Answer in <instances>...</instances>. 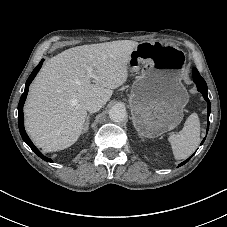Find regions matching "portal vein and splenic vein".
<instances>
[{"mask_svg":"<svg viewBox=\"0 0 227 227\" xmlns=\"http://www.w3.org/2000/svg\"><path fill=\"white\" fill-rule=\"evenodd\" d=\"M87 71H88L89 77L94 78V79L96 78V76L92 73V68L89 67V68L87 69Z\"/></svg>","mask_w":227,"mask_h":227,"instance_id":"obj_1","label":"portal vein and splenic vein"}]
</instances>
